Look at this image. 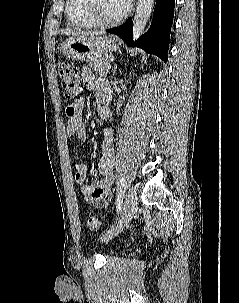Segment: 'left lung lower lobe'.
Here are the masks:
<instances>
[{
	"mask_svg": "<svg viewBox=\"0 0 239 303\" xmlns=\"http://www.w3.org/2000/svg\"><path fill=\"white\" fill-rule=\"evenodd\" d=\"M174 4L175 0H157L149 31L134 43L132 42V19L119 27L106 31L118 35L125 43L142 48L145 52L154 54L166 62L168 60L167 53L174 16Z\"/></svg>",
	"mask_w": 239,
	"mask_h": 303,
	"instance_id": "1",
	"label": "left lung lower lobe"
}]
</instances>
